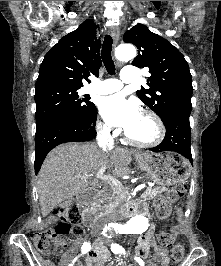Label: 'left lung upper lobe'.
<instances>
[{"label": "left lung upper lobe", "mask_w": 221, "mask_h": 266, "mask_svg": "<svg viewBox=\"0 0 221 266\" xmlns=\"http://www.w3.org/2000/svg\"><path fill=\"white\" fill-rule=\"evenodd\" d=\"M123 39L138 48L132 65L148 67L151 77L137 96L165 123L175 114L190 115L192 76L184 56L163 37L138 23L126 31Z\"/></svg>", "instance_id": "obj_1"}]
</instances>
